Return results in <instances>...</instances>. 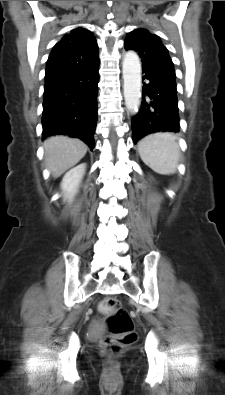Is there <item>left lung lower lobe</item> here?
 Here are the masks:
<instances>
[{"instance_id": "left-lung-lower-lobe-1", "label": "left lung lower lobe", "mask_w": 225, "mask_h": 395, "mask_svg": "<svg viewBox=\"0 0 225 395\" xmlns=\"http://www.w3.org/2000/svg\"><path fill=\"white\" fill-rule=\"evenodd\" d=\"M142 103L132 119L133 140L160 131H179L175 71L163 67H142Z\"/></svg>"}]
</instances>
